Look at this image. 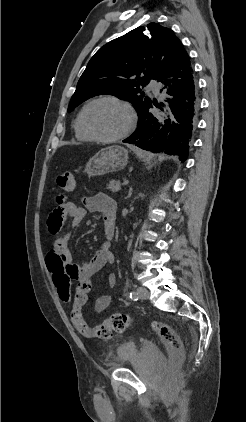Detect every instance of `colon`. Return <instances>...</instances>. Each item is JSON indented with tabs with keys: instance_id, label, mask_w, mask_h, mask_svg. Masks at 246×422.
Wrapping results in <instances>:
<instances>
[{
	"instance_id": "1",
	"label": "colon",
	"mask_w": 246,
	"mask_h": 422,
	"mask_svg": "<svg viewBox=\"0 0 246 422\" xmlns=\"http://www.w3.org/2000/svg\"><path fill=\"white\" fill-rule=\"evenodd\" d=\"M56 185L60 190L72 191L75 188V178L72 172H64L57 176ZM47 267L51 273L54 286L57 289L59 299L70 305V319L75 328L85 337L108 340L116 333L124 332L130 325L128 315L117 313L110 316L101 324L90 327L83 319L82 308L85 305L91 289L90 278L78 280L74 298L72 300L70 281L71 269L64 259L55 251L50 250L46 257ZM152 328L161 342L167 348L174 363L183 360L184 351L182 342L175 330L166 323L154 321Z\"/></svg>"
}]
</instances>
